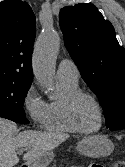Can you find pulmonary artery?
<instances>
[{
  "label": "pulmonary artery",
  "mask_w": 125,
  "mask_h": 167,
  "mask_svg": "<svg viewBox=\"0 0 125 167\" xmlns=\"http://www.w3.org/2000/svg\"><path fill=\"white\" fill-rule=\"evenodd\" d=\"M57 77L76 82L79 79V70L71 59H62L58 64Z\"/></svg>",
  "instance_id": "e3ab8cb5"
}]
</instances>
